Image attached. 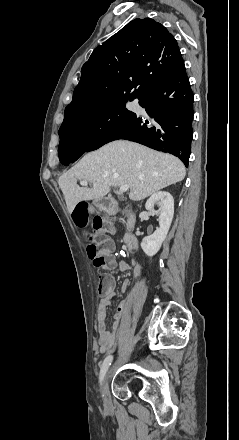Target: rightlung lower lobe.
Listing matches in <instances>:
<instances>
[{"instance_id": "right-lung-lower-lobe-1", "label": "right lung lower lobe", "mask_w": 239, "mask_h": 440, "mask_svg": "<svg viewBox=\"0 0 239 440\" xmlns=\"http://www.w3.org/2000/svg\"><path fill=\"white\" fill-rule=\"evenodd\" d=\"M138 99L148 119L133 113L124 122L99 135L87 147H64L58 150L60 162L69 165L85 152L98 149L113 140L126 139L171 153L188 167L193 134V93L183 59Z\"/></svg>"}]
</instances>
